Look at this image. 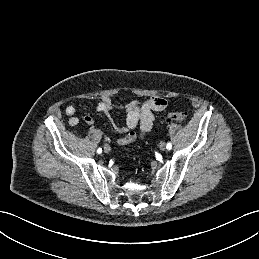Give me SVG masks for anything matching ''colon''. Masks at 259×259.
Listing matches in <instances>:
<instances>
[{
    "label": "colon",
    "instance_id": "5ec220e1",
    "mask_svg": "<svg viewBox=\"0 0 259 259\" xmlns=\"http://www.w3.org/2000/svg\"><path fill=\"white\" fill-rule=\"evenodd\" d=\"M186 119V114L184 112H168L164 116V121L165 122H183Z\"/></svg>",
    "mask_w": 259,
    "mask_h": 259
}]
</instances>
